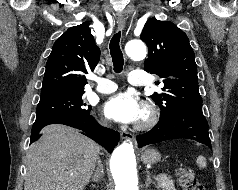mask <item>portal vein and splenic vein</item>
<instances>
[{
	"instance_id": "1",
	"label": "portal vein and splenic vein",
	"mask_w": 238,
	"mask_h": 190,
	"mask_svg": "<svg viewBox=\"0 0 238 190\" xmlns=\"http://www.w3.org/2000/svg\"><path fill=\"white\" fill-rule=\"evenodd\" d=\"M159 177H166V175H165V174H163V175H160Z\"/></svg>"
}]
</instances>
